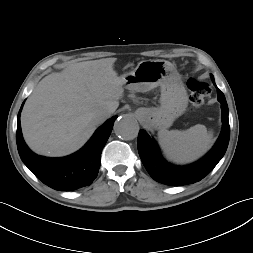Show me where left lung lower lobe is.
<instances>
[{
  "mask_svg": "<svg viewBox=\"0 0 253 253\" xmlns=\"http://www.w3.org/2000/svg\"><path fill=\"white\" fill-rule=\"evenodd\" d=\"M217 92L222 109V131L212 150L196 163L188 166L169 164L161 156L156 142L146 131L140 130L137 141L138 152L146 170L154 180L173 186L198 182L208 175L224 156L230 137L228 106L224 94L219 89Z\"/></svg>",
  "mask_w": 253,
  "mask_h": 253,
  "instance_id": "left-lung-lower-lobe-1",
  "label": "left lung lower lobe"
}]
</instances>
